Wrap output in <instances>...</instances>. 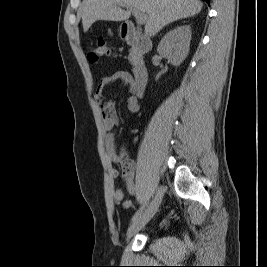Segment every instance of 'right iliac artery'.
I'll return each mask as SVG.
<instances>
[{
  "label": "right iliac artery",
  "instance_id": "82829eb1",
  "mask_svg": "<svg viewBox=\"0 0 267 267\" xmlns=\"http://www.w3.org/2000/svg\"><path fill=\"white\" fill-rule=\"evenodd\" d=\"M147 205V202H145L138 210L137 212L134 214V216L132 217L131 219V223L135 222L140 216L141 214L143 213L145 207Z\"/></svg>",
  "mask_w": 267,
  "mask_h": 267
}]
</instances>
